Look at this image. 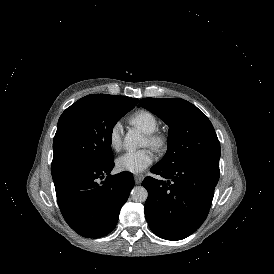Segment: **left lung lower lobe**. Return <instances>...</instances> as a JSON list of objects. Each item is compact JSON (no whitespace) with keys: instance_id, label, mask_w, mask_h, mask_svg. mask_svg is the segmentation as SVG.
Segmentation results:
<instances>
[{"instance_id":"0a47b994","label":"left lung lower lobe","mask_w":274,"mask_h":274,"mask_svg":"<svg viewBox=\"0 0 274 274\" xmlns=\"http://www.w3.org/2000/svg\"><path fill=\"white\" fill-rule=\"evenodd\" d=\"M151 172L164 180L146 177L142 183L148 191L144 211L150 229L171 241L191 235L208 215L219 166L194 162L168 168L157 163Z\"/></svg>"}]
</instances>
